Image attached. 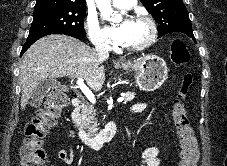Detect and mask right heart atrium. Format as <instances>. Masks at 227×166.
<instances>
[{"label": "right heart atrium", "mask_w": 227, "mask_h": 166, "mask_svg": "<svg viewBox=\"0 0 227 166\" xmlns=\"http://www.w3.org/2000/svg\"><path fill=\"white\" fill-rule=\"evenodd\" d=\"M84 27L91 43L95 47L106 48L109 46L110 41L100 27L96 17L92 15H87L84 21Z\"/></svg>", "instance_id": "1"}]
</instances>
